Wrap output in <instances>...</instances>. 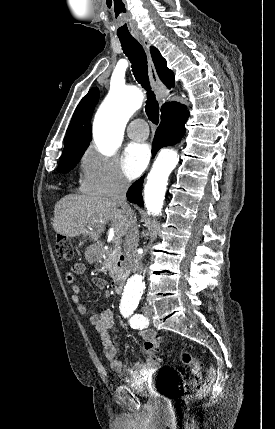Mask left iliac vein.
<instances>
[{
  "label": "left iliac vein",
  "mask_w": 275,
  "mask_h": 429,
  "mask_svg": "<svg viewBox=\"0 0 275 429\" xmlns=\"http://www.w3.org/2000/svg\"><path fill=\"white\" fill-rule=\"evenodd\" d=\"M142 311H143V314H144L146 317H148V316L151 314V309H150V307H149V306H144V307H143V309H142Z\"/></svg>",
  "instance_id": "1"
}]
</instances>
